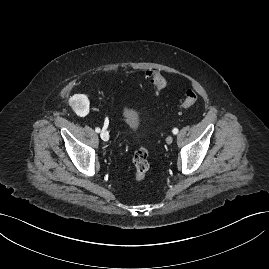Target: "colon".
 Returning a JSON list of instances; mask_svg holds the SVG:
<instances>
[{"mask_svg": "<svg viewBox=\"0 0 269 269\" xmlns=\"http://www.w3.org/2000/svg\"><path fill=\"white\" fill-rule=\"evenodd\" d=\"M151 86L156 91L163 90L166 85V79L156 71L147 72ZM197 102V95L192 89H187L183 100L180 103L179 109L181 111L193 107ZM149 150L141 146L133 156V166H134V178L137 182H142L146 179L148 171L150 168L149 164Z\"/></svg>", "mask_w": 269, "mask_h": 269, "instance_id": "obj_1", "label": "colon"}]
</instances>
